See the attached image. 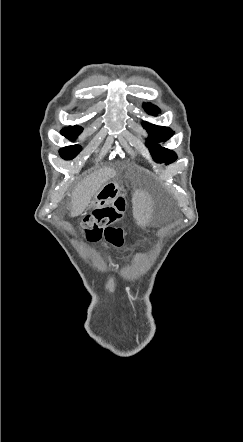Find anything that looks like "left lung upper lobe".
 <instances>
[{"label": "left lung upper lobe", "instance_id": "left-lung-upper-lobe-1", "mask_svg": "<svg viewBox=\"0 0 243 442\" xmlns=\"http://www.w3.org/2000/svg\"><path fill=\"white\" fill-rule=\"evenodd\" d=\"M145 111L156 116L160 110L151 104L144 105ZM143 127L149 134V140L146 145L149 147V151L153 159L158 163H165L166 165L174 162L177 158L176 154L164 147H161L158 142H163L170 139L174 132L168 127L157 126L148 122H143Z\"/></svg>", "mask_w": 243, "mask_h": 442}]
</instances>
